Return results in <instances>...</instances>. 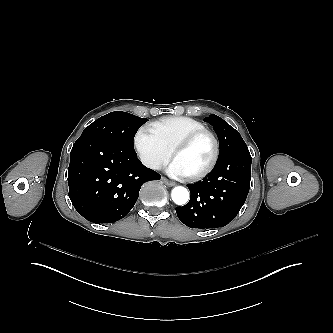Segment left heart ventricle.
<instances>
[{"label":"left heart ventricle","mask_w":333,"mask_h":333,"mask_svg":"<svg viewBox=\"0 0 333 333\" xmlns=\"http://www.w3.org/2000/svg\"><path fill=\"white\" fill-rule=\"evenodd\" d=\"M214 146L208 135H203L187 148L177 152L172 160H175L187 176L192 175L203 168L211 159Z\"/></svg>","instance_id":"obj_1"}]
</instances>
